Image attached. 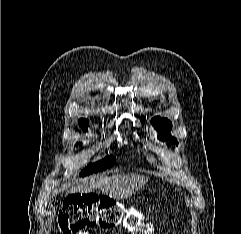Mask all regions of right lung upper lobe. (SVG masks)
<instances>
[{
  "mask_svg": "<svg viewBox=\"0 0 241 234\" xmlns=\"http://www.w3.org/2000/svg\"><path fill=\"white\" fill-rule=\"evenodd\" d=\"M79 125L81 126V128L86 131L87 130V126L89 124V121L87 119H80L79 121Z\"/></svg>",
  "mask_w": 241,
  "mask_h": 234,
  "instance_id": "1",
  "label": "right lung upper lobe"
}]
</instances>
